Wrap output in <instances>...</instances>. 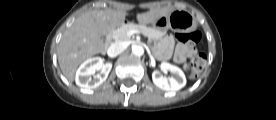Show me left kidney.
Listing matches in <instances>:
<instances>
[{"label":"left kidney","mask_w":276,"mask_h":120,"mask_svg":"<svg viewBox=\"0 0 276 120\" xmlns=\"http://www.w3.org/2000/svg\"><path fill=\"white\" fill-rule=\"evenodd\" d=\"M160 68L163 71H170L172 76L167 78L159 71H154L152 73V80L158 88L167 92H176L186 85V77L179 67L162 62Z\"/></svg>","instance_id":"5707ae66"}]
</instances>
